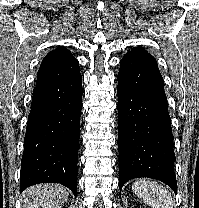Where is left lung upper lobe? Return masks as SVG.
Listing matches in <instances>:
<instances>
[{
  "instance_id": "1",
  "label": "left lung upper lobe",
  "mask_w": 199,
  "mask_h": 208,
  "mask_svg": "<svg viewBox=\"0 0 199 208\" xmlns=\"http://www.w3.org/2000/svg\"><path fill=\"white\" fill-rule=\"evenodd\" d=\"M126 56H131L142 60L144 63L149 64L158 69L157 62L155 58L147 53L142 47L133 48L131 51L127 52Z\"/></svg>"
}]
</instances>
